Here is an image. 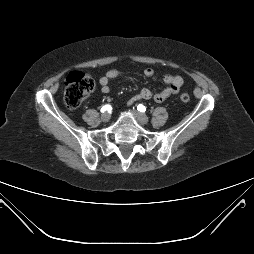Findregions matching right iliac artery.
I'll return each instance as SVG.
<instances>
[{
  "mask_svg": "<svg viewBox=\"0 0 254 254\" xmlns=\"http://www.w3.org/2000/svg\"><path fill=\"white\" fill-rule=\"evenodd\" d=\"M111 109V106L110 105H104L102 108H101V112L103 113V112H105V111H107V110H110Z\"/></svg>",
  "mask_w": 254,
  "mask_h": 254,
  "instance_id": "82829eb1",
  "label": "right iliac artery"
}]
</instances>
